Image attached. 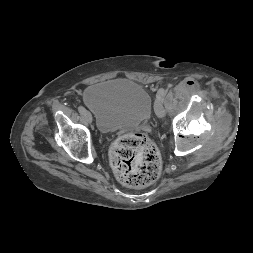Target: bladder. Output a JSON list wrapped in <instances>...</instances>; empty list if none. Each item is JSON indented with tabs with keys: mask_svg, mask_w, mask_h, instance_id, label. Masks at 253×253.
<instances>
[{
	"mask_svg": "<svg viewBox=\"0 0 253 253\" xmlns=\"http://www.w3.org/2000/svg\"><path fill=\"white\" fill-rule=\"evenodd\" d=\"M84 102L94 112L102 132L131 129L146 120L152 110V97L139 83L116 79L89 87Z\"/></svg>",
	"mask_w": 253,
	"mask_h": 253,
	"instance_id": "bladder-1",
	"label": "bladder"
}]
</instances>
